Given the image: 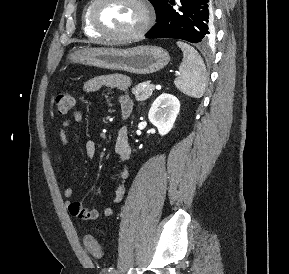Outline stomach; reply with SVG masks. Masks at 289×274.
Wrapping results in <instances>:
<instances>
[{
    "instance_id": "stomach-1",
    "label": "stomach",
    "mask_w": 289,
    "mask_h": 274,
    "mask_svg": "<svg viewBox=\"0 0 289 274\" xmlns=\"http://www.w3.org/2000/svg\"><path fill=\"white\" fill-rule=\"evenodd\" d=\"M169 61V53L161 47L137 46L130 49H73L66 55L65 65L83 64L145 75L163 69Z\"/></svg>"
}]
</instances>
